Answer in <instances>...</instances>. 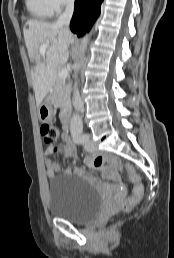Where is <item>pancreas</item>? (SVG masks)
Returning a JSON list of instances; mask_svg holds the SVG:
<instances>
[{
  "label": "pancreas",
  "mask_w": 174,
  "mask_h": 258,
  "mask_svg": "<svg viewBox=\"0 0 174 258\" xmlns=\"http://www.w3.org/2000/svg\"><path fill=\"white\" fill-rule=\"evenodd\" d=\"M70 100L69 85L65 83L64 79H61L58 75L56 76L53 93L52 103L58 105L61 108L68 106Z\"/></svg>",
  "instance_id": "obj_1"
}]
</instances>
